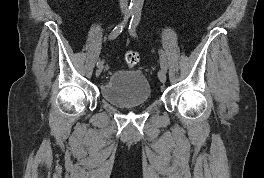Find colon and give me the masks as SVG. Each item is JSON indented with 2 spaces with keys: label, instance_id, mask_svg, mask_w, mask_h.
I'll use <instances>...</instances> for the list:
<instances>
[{
  "label": "colon",
  "instance_id": "colon-1",
  "mask_svg": "<svg viewBox=\"0 0 264 178\" xmlns=\"http://www.w3.org/2000/svg\"><path fill=\"white\" fill-rule=\"evenodd\" d=\"M124 62L128 67H134L139 62V55L135 51H128L124 55Z\"/></svg>",
  "mask_w": 264,
  "mask_h": 178
}]
</instances>
